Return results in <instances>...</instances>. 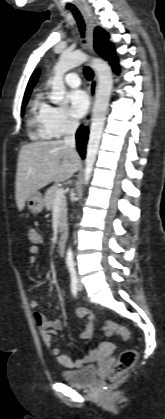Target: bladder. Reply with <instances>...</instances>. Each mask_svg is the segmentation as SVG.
<instances>
[{
	"label": "bladder",
	"mask_w": 165,
	"mask_h": 419,
	"mask_svg": "<svg viewBox=\"0 0 165 419\" xmlns=\"http://www.w3.org/2000/svg\"><path fill=\"white\" fill-rule=\"evenodd\" d=\"M62 379L73 387H88L95 383L99 377L98 366L90 365L77 370L62 371Z\"/></svg>",
	"instance_id": "obj_1"
}]
</instances>
